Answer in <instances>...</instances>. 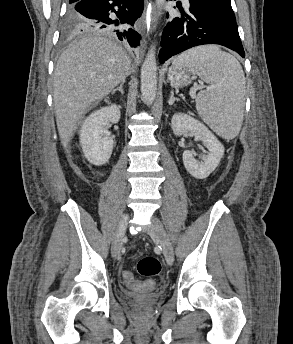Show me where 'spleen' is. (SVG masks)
Segmentation results:
<instances>
[{
    "label": "spleen",
    "mask_w": 293,
    "mask_h": 344,
    "mask_svg": "<svg viewBox=\"0 0 293 344\" xmlns=\"http://www.w3.org/2000/svg\"><path fill=\"white\" fill-rule=\"evenodd\" d=\"M176 60L194 68L210 84L195 98L202 120L219 136L238 135L244 116L245 76L235 57L215 46L190 49Z\"/></svg>",
    "instance_id": "3e777b00"
}]
</instances>
